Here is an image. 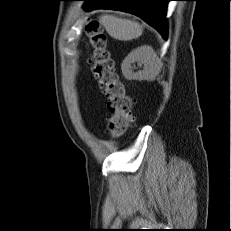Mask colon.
<instances>
[{
  "label": "colon",
  "instance_id": "colon-1",
  "mask_svg": "<svg viewBox=\"0 0 231 231\" xmlns=\"http://www.w3.org/2000/svg\"><path fill=\"white\" fill-rule=\"evenodd\" d=\"M86 32L93 49L92 70L107 98V107L110 112L108 132L111 138H119L126 133L132 122L133 99L115 71L114 61L106 48V36L99 22L90 21Z\"/></svg>",
  "mask_w": 231,
  "mask_h": 231
}]
</instances>
